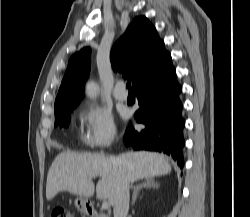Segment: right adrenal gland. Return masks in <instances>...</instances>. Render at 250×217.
<instances>
[{
    "mask_svg": "<svg viewBox=\"0 0 250 217\" xmlns=\"http://www.w3.org/2000/svg\"><path fill=\"white\" fill-rule=\"evenodd\" d=\"M158 188L159 185L154 181L153 178H147L143 183L134 186V192L132 196V206L135 204V201L138 197L139 191L143 188Z\"/></svg>",
    "mask_w": 250,
    "mask_h": 217,
    "instance_id": "2a0ac1e0",
    "label": "right adrenal gland"
}]
</instances>
